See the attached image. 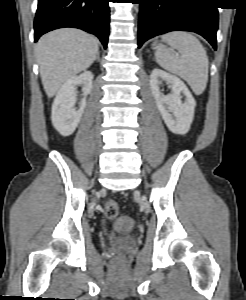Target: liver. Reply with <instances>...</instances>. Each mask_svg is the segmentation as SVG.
<instances>
[{"label":"liver","mask_w":246,"mask_h":300,"mask_svg":"<svg viewBox=\"0 0 246 300\" xmlns=\"http://www.w3.org/2000/svg\"><path fill=\"white\" fill-rule=\"evenodd\" d=\"M98 53L97 39L79 29L43 35L36 45V58L47 96L53 97L64 82L89 68Z\"/></svg>","instance_id":"1"}]
</instances>
